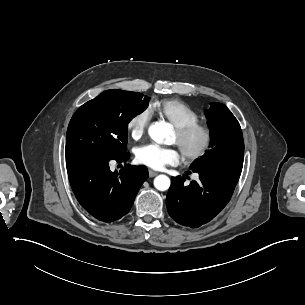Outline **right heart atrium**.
<instances>
[{"mask_svg":"<svg viewBox=\"0 0 305 305\" xmlns=\"http://www.w3.org/2000/svg\"><path fill=\"white\" fill-rule=\"evenodd\" d=\"M151 117L149 109H141L133 114L127 122V130L129 135L134 139L138 140L142 137L148 122Z\"/></svg>","mask_w":305,"mask_h":305,"instance_id":"d8ad5b80","label":"right heart atrium"}]
</instances>
